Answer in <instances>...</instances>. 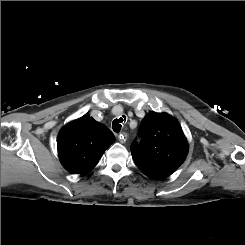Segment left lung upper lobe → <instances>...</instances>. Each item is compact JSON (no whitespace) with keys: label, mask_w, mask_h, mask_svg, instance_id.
I'll return each instance as SVG.
<instances>
[{"label":"left lung upper lobe","mask_w":245,"mask_h":245,"mask_svg":"<svg viewBox=\"0 0 245 245\" xmlns=\"http://www.w3.org/2000/svg\"><path fill=\"white\" fill-rule=\"evenodd\" d=\"M141 142L131 145L137 167L152 179L170 176L185 161L188 143L176 118L167 113H148L140 125Z\"/></svg>","instance_id":"obj_1"}]
</instances>
